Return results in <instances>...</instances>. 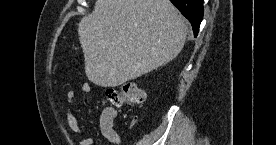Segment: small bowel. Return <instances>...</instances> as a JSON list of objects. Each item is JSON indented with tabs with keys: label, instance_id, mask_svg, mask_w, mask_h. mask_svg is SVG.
<instances>
[{
	"label": "small bowel",
	"instance_id": "c3829d8e",
	"mask_svg": "<svg viewBox=\"0 0 276 145\" xmlns=\"http://www.w3.org/2000/svg\"><path fill=\"white\" fill-rule=\"evenodd\" d=\"M90 89V85L87 82L82 83L79 87V91L82 94L89 93ZM75 98L76 93L73 90L68 91L65 99L58 104V110L61 115H65L67 125L72 131L82 133L83 129L78 122L73 108ZM64 102L67 103V107H65ZM99 126L103 137L108 142L113 145H119L121 143V137L114 129V112L112 110H106L101 113ZM79 144L93 145L94 140L92 137L88 136L82 139Z\"/></svg>",
	"mask_w": 276,
	"mask_h": 145
}]
</instances>
